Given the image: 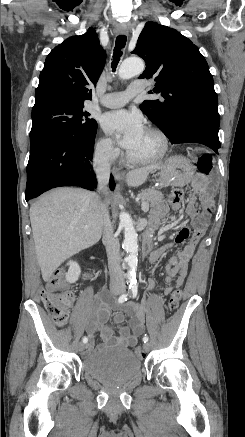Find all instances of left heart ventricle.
<instances>
[{"instance_id": "b2bd125f", "label": "left heart ventricle", "mask_w": 245, "mask_h": 437, "mask_svg": "<svg viewBox=\"0 0 245 437\" xmlns=\"http://www.w3.org/2000/svg\"><path fill=\"white\" fill-rule=\"evenodd\" d=\"M160 148L159 138L145 131L137 147L130 152L133 157L145 158L154 155Z\"/></svg>"}]
</instances>
